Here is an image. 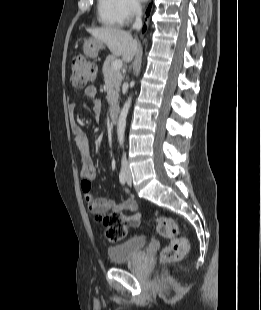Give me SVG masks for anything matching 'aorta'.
I'll return each mask as SVG.
<instances>
[{
    "label": "aorta",
    "mask_w": 261,
    "mask_h": 310,
    "mask_svg": "<svg viewBox=\"0 0 261 310\" xmlns=\"http://www.w3.org/2000/svg\"><path fill=\"white\" fill-rule=\"evenodd\" d=\"M132 98L129 97L125 102L123 108L121 109L119 119L117 122V138L120 146L123 145L124 142V135H125V128H126V119L129 112V108L131 106Z\"/></svg>",
    "instance_id": "obj_1"
}]
</instances>
